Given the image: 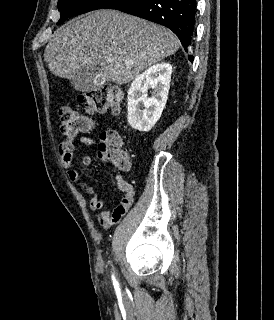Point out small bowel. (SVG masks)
Wrapping results in <instances>:
<instances>
[{
  "label": "small bowel",
  "mask_w": 274,
  "mask_h": 320,
  "mask_svg": "<svg viewBox=\"0 0 274 320\" xmlns=\"http://www.w3.org/2000/svg\"><path fill=\"white\" fill-rule=\"evenodd\" d=\"M84 126H86L82 132H88L94 126V119H84ZM78 142L84 146H94L95 141L93 138L88 136H82L78 139ZM80 153V150L77 145V137L67 136L61 143L59 144V158L60 163L63 169L66 171L67 176L72 184H74L80 191V193L84 197H89V206L92 211H97L103 209L105 205V200L99 197L97 191L84 182L81 178L77 170H75L73 166V161L75 157ZM98 156L102 159L108 157V154L102 147L99 145L98 147ZM115 161H130L132 166V159L130 155L126 152H122L120 156L114 158ZM81 164L83 167H88L91 164V157L89 155L83 154L81 158ZM121 171H129L130 168H119ZM115 182L117 188L123 192V196L121 198L120 203L115 206L113 209L102 210L97 217V220L104 227H110L118 223L121 218L128 211L130 206L134 201V187L127 182L121 175L120 172L115 174Z\"/></svg>",
  "instance_id": "small-bowel-1"
}]
</instances>
